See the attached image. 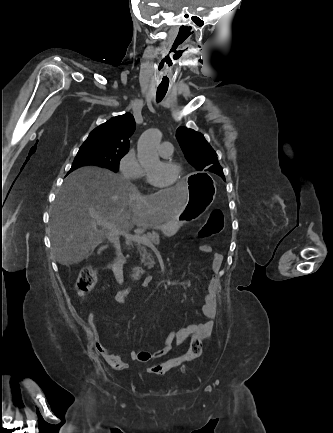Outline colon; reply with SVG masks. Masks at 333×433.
<instances>
[{"label": "colon", "instance_id": "colon-1", "mask_svg": "<svg viewBox=\"0 0 333 433\" xmlns=\"http://www.w3.org/2000/svg\"><path fill=\"white\" fill-rule=\"evenodd\" d=\"M224 227V215L220 209L212 210L206 220V223L199 231V239H208L220 233ZM98 282V272L93 267L83 268L76 279V291L83 295L91 291ZM202 354V338L199 335L191 337L187 352L178 357H172L164 362L152 365L148 372L155 375H164L170 369L178 366L182 362L193 361Z\"/></svg>", "mask_w": 333, "mask_h": 433}]
</instances>
